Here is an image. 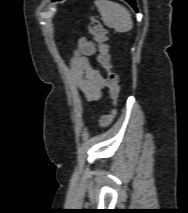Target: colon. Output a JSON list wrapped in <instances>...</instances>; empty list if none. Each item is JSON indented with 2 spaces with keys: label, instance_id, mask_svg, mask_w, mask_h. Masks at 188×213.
<instances>
[{
  "label": "colon",
  "instance_id": "obj_1",
  "mask_svg": "<svg viewBox=\"0 0 188 213\" xmlns=\"http://www.w3.org/2000/svg\"><path fill=\"white\" fill-rule=\"evenodd\" d=\"M89 32L93 35L94 39L99 45L98 61L102 68L106 71L105 84L109 89L113 103L116 104L120 97V86L117 75L111 70L110 56L106 44L107 31L96 18L92 17L89 22ZM114 115L115 110H112L110 114L103 115L100 123L102 125H108L112 121Z\"/></svg>",
  "mask_w": 188,
  "mask_h": 213
}]
</instances>
